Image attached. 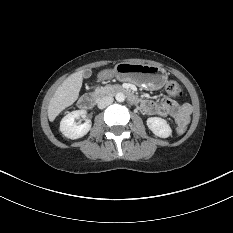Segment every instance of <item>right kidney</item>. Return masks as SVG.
I'll return each mask as SVG.
<instances>
[{
  "mask_svg": "<svg viewBox=\"0 0 233 233\" xmlns=\"http://www.w3.org/2000/svg\"><path fill=\"white\" fill-rule=\"evenodd\" d=\"M86 114L85 110H76L68 113L60 122L61 133L69 139H78L86 135L91 129L92 123L86 120L85 123L78 125L75 119Z\"/></svg>",
  "mask_w": 233,
  "mask_h": 233,
  "instance_id": "ca27d5eb",
  "label": "right kidney"
}]
</instances>
